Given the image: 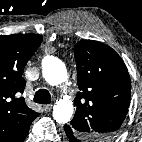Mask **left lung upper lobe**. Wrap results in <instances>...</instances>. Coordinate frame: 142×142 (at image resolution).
Masks as SVG:
<instances>
[{"mask_svg":"<svg viewBox=\"0 0 142 142\" xmlns=\"http://www.w3.org/2000/svg\"><path fill=\"white\" fill-rule=\"evenodd\" d=\"M80 92L77 110L68 125L87 142L112 139L128 111L131 82L126 65L109 46L81 40L74 47Z\"/></svg>","mask_w":142,"mask_h":142,"instance_id":"obj_1","label":"left lung upper lobe"}]
</instances>
